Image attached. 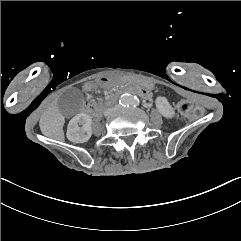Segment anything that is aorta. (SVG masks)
<instances>
[{
    "instance_id": "1",
    "label": "aorta",
    "mask_w": 241,
    "mask_h": 241,
    "mask_svg": "<svg viewBox=\"0 0 241 241\" xmlns=\"http://www.w3.org/2000/svg\"><path fill=\"white\" fill-rule=\"evenodd\" d=\"M133 100H134V99H133L132 97H130V96H126V97H125L126 103H132Z\"/></svg>"
}]
</instances>
